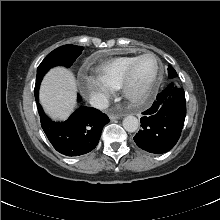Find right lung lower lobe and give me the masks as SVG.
Returning <instances> with one entry per match:
<instances>
[{
  "label": "right lung lower lobe",
  "mask_w": 220,
  "mask_h": 220,
  "mask_svg": "<svg viewBox=\"0 0 220 220\" xmlns=\"http://www.w3.org/2000/svg\"><path fill=\"white\" fill-rule=\"evenodd\" d=\"M39 86L40 83H36L35 100L41 126L53 147L66 156H78L93 150L99 142L104 125L110 121L107 115L84 106L76 109L65 122H53L39 104Z\"/></svg>",
  "instance_id": "98d812e1"
}]
</instances>
